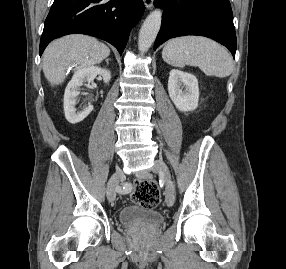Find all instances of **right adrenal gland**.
Returning a JSON list of instances; mask_svg holds the SVG:
<instances>
[{"label": "right adrenal gland", "mask_w": 286, "mask_h": 269, "mask_svg": "<svg viewBox=\"0 0 286 269\" xmlns=\"http://www.w3.org/2000/svg\"><path fill=\"white\" fill-rule=\"evenodd\" d=\"M109 59H106V62L108 63Z\"/></svg>", "instance_id": "2a0ac1e0"}]
</instances>
